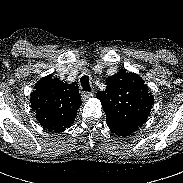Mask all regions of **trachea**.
<instances>
[{"label": "trachea", "mask_w": 183, "mask_h": 183, "mask_svg": "<svg viewBox=\"0 0 183 183\" xmlns=\"http://www.w3.org/2000/svg\"><path fill=\"white\" fill-rule=\"evenodd\" d=\"M80 82L83 88V91L90 92L91 88L89 87V77L84 75L80 78Z\"/></svg>", "instance_id": "trachea-1"}]
</instances>
